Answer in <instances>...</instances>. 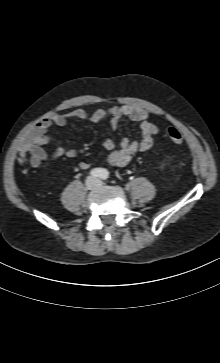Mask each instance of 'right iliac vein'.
<instances>
[{
  "label": "right iliac vein",
  "instance_id": "1",
  "mask_svg": "<svg viewBox=\"0 0 220 363\" xmlns=\"http://www.w3.org/2000/svg\"><path fill=\"white\" fill-rule=\"evenodd\" d=\"M95 185H96V183H95V181H94L93 179H89V180L87 181V187H88L89 189L94 188V187H95Z\"/></svg>",
  "mask_w": 220,
  "mask_h": 363
}]
</instances>
